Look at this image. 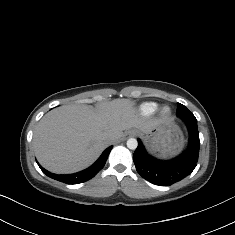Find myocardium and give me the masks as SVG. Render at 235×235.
<instances>
[{
  "label": "myocardium",
  "instance_id": "obj_1",
  "mask_svg": "<svg viewBox=\"0 0 235 235\" xmlns=\"http://www.w3.org/2000/svg\"><path fill=\"white\" fill-rule=\"evenodd\" d=\"M173 110L171 106L165 104L158 110V117L162 120H168L172 117Z\"/></svg>",
  "mask_w": 235,
  "mask_h": 235
}]
</instances>
